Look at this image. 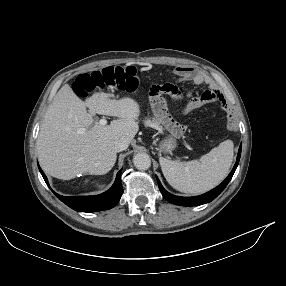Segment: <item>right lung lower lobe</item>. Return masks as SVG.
Instances as JSON below:
<instances>
[{
    "instance_id": "obj_1",
    "label": "right lung lower lobe",
    "mask_w": 286,
    "mask_h": 286,
    "mask_svg": "<svg viewBox=\"0 0 286 286\" xmlns=\"http://www.w3.org/2000/svg\"><path fill=\"white\" fill-rule=\"evenodd\" d=\"M39 170L46 184L49 186L44 172L40 167ZM53 193L67 206L79 212H96L108 210L114 207L122 196L123 188L121 185V171L117 173V177L113 186L105 193L96 196L65 197L55 193L54 191Z\"/></svg>"
}]
</instances>
